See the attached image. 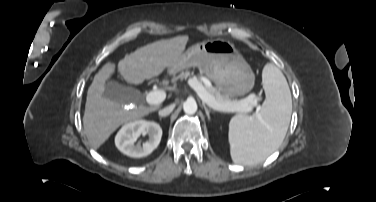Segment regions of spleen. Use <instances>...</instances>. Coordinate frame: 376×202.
Instances as JSON below:
<instances>
[{
    "label": "spleen",
    "instance_id": "3e777b00",
    "mask_svg": "<svg viewBox=\"0 0 376 202\" xmlns=\"http://www.w3.org/2000/svg\"><path fill=\"white\" fill-rule=\"evenodd\" d=\"M262 82L266 99L259 116L236 115L229 123L231 158L238 164L265 160L281 145L290 123L291 93L281 70L272 63L266 64Z\"/></svg>",
    "mask_w": 376,
    "mask_h": 202
}]
</instances>
